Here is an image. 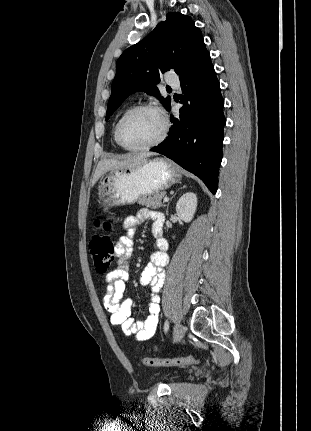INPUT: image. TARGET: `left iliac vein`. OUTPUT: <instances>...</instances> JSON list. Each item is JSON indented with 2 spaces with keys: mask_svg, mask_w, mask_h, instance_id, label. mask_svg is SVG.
Segmentation results:
<instances>
[{
  "mask_svg": "<svg viewBox=\"0 0 311 431\" xmlns=\"http://www.w3.org/2000/svg\"><path fill=\"white\" fill-rule=\"evenodd\" d=\"M185 331H186V328L184 325L180 323L176 324L174 328V333H173V342L180 341L183 338Z\"/></svg>",
  "mask_w": 311,
  "mask_h": 431,
  "instance_id": "obj_1",
  "label": "left iliac vein"
}]
</instances>
